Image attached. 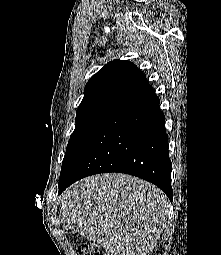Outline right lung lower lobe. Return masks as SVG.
Instances as JSON below:
<instances>
[{"label": "right lung lower lobe", "instance_id": "1", "mask_svg": "<svg viewBox=\"0 0 221 255\" xmlns=\"http://www.w3.org/2000/svg\"><path fill=\"white\" fill-rule=\"evenodd\" d=\"M171 170L165 117L159 98L149 87L110 116L59 181L58 194L86 176L122 172L152 182L172 201Z\"/></svg>", "mask_w": 221, "mask_h": 255}]
</instances>
